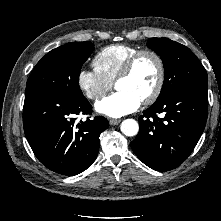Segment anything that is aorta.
<instances>
[{"mask_svg":"<svg viewBox=\"0 0 221 221\" xmlns=\"http://www.w3.org/2000/svg\"><path fill=\"white\" fill-rule=\"evenodd\" d=\"M120 129L126 136H135L139 131V124L134 119H126L121 123Z\"/></svg>","mask_w":221,"mask_h":221,"instance_id":"aorta-1","label":"aorta"}]
</instances>
